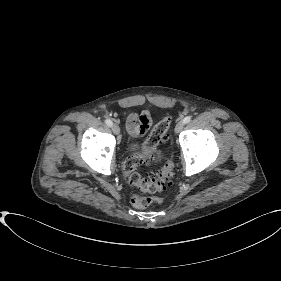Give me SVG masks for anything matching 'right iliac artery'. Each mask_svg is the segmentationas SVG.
I'll return each mask as SVG.
<instances>
[{
	"instance_id": "82829eb1",
	"label": "right iliac artery",
	"mask_w": 281,
	"mask_h": 281,
	"mask_svg": "<svg viewBox=\"0 0 281 281\" xmlns=\"http://www.w3.org/2000/svg\"><path fill=\"white\" fill-rule=\"evenodd\" d=\"M105 123L108 125V126H112V121L110 119H106L105 120Z\"/></svg>"
}]
</instances>
